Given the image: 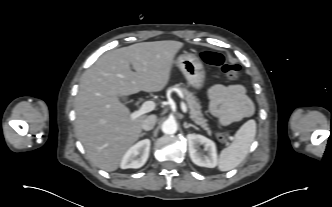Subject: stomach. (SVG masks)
<instances>
[{
  "mask_svg": "<svg viewBox=\"0 0 332 207\" xmlns=\"http://www.w3.org/2000/svg\"><path fill=\"white\" fill-rule=\"evenodd\" d=\"M176 65L195 90H201L205 84V70L202 61L194 54L185 53L178 57Z\"/></svg>",
  "mask_w": 332,
  "mask_h": 207,
  "instance_id": "obj_1",
  "label": "stomach"
}]
</instances>
